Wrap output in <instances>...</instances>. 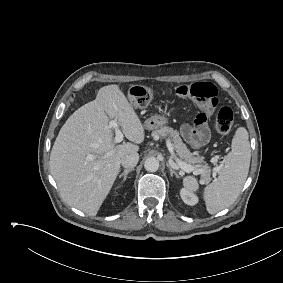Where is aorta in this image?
Here are the masks:
<instances>
[{"label": "aorta", "instance_id": "1", "mask_svg": "<svg viewBox=\"0 0 283 283\" xmlns=\"http://www.w3.org/2000/svg\"><path fill=\"white\" fill-rule=\"evenodd\" d=\"M144 167L149 172H156L159 169V161L155 157H149L145 160Z\"/></svg>", "mask_w": 283, "mask_h": 283}]
</instances>
